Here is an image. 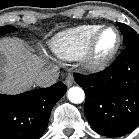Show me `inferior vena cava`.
<instances>
[{
    "instance_id": "602c4592",
    "label": "inferior vena cava",
    "mask_w": 139,
    "mask_h": 139,
    "mask_svg": "<svg viewBox=\"0 0 139 139\" xmlns=\"http://www.w3.org/2000/svg\"><path fill=\"white\" fill-rule=\"evenodd\" d=\"M59 77L57 67L45 68L37 75L34 84L39 87H49L53 85Z\"/></svg>"
}]
</instances>
